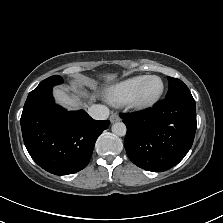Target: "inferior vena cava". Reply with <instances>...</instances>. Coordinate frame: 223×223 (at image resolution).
I'll return each instance as SVG.
<instances>
[{
    "label": "inferior vena cava",
    "mask_w": 223,
    "mask_h": 223,
    "mask_svg": "<svg viewBox=\"0 0 223 223\" xmlns=\"http://www.w3.org/2000/svg\"><path fill=\"white\" fill-rule=\"evenodd\" d=\"M88 114L94 119H107L109 116V108L106 105H95L88 109Z\"/></svg>",
    "instance_id": "1"
}]
</instances>
